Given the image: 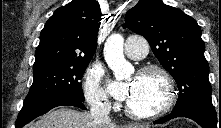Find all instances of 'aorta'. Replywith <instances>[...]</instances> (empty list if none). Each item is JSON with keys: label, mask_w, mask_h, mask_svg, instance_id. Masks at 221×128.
Listing matches in <instances>:
<instances>
[{"label": "aorta", "mask_w": 221, "mask_h": 128, "mask_svg": "<svg viewBox=\"0 0 221 128\" xmlns=\"http://www.w3.org/2000/svg\"><path fill=\"white\" fill-rule=\"evenodd\" d=\"M124 38L120 34H112L104 45V57L117 80L123 79L133 72V66L125 59L123 53Z\"/></svg>", "instance_id": "obj_1"}]
</instances>
